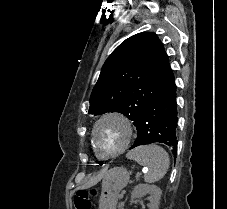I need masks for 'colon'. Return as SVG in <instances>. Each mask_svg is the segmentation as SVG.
I'll return each instance as SVG.
<instances>
[{
    "label": "colon",
    "mask_w": 227,
    "mask_h": 209,
    "mask_svg": "<svg viewBox=\"0 0 227 209\" xmlns=\"http://www.w3.org/2000/svg\"><path fill=\"white\" fill-rule=\"evenodd\" d=\"M91 195L92 191H88L86 189H79L74 195V209H92Z\"/></svg>",
    "instance_id": "1"
}]
</instances>
